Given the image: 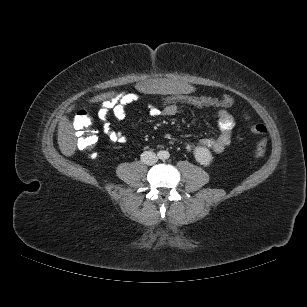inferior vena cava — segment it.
Returning a JSON list of instances; mask_svg holds the SVG:
<instances>
[{
  "label": "inferior vena cava",
  "mask_w": 307,
  "mask_h": 307,
  "mask_svg": "<svg viewBox=\"0 0 307 307\" xmlns=\"http://www.w3.org/2000/svg\"><path fill=\"white\" fill-rule=\"evenodd\" d=\"M158 158L156 154L152 151H144L141 154V162L146 165H154L157 162Z\"/></svg>",
  "instance_id": "1"
}]
</instances>
